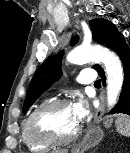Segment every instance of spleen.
Segmentation results:
<instances>
[{
	"mask_svg": "<svg viewBox=\"0 0 130 153\" xmlns=\"http://www.w3.org/2000/svg\"><path fill=\"white\" fill-rule=\"evenodd\" d=\"M116 130L121 135L130 136V118L126 116L118 117L116 120Z\"/></svg>",
	"mask_w": 130,
	"mask_h": 153,
	"instance_id": "spleen-1",
	"label": "spleen"
}]
</instances>
